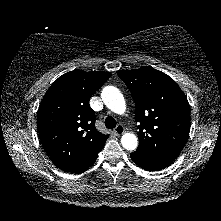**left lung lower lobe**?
Wrapping results in <instances>:
<instances>
[{"label": "left lung lower lobe", "mask_w": 221, "mask_h": 221, "mask_svg": "<svg viewBox=\"0 0 221 221\" xmlns=\"http://www.w3.org/2000/svg\"><path fill=\"white\" fill-rule=\"evenodd\" d=\"M133 162L148 171H158L171 165L173 161L159 158H150L137 153L130 154Z\"/></svg>", "instance_id": "left-lung-lower-lobe-1"}]
</instances>
